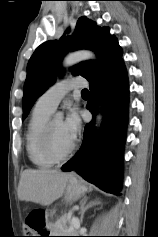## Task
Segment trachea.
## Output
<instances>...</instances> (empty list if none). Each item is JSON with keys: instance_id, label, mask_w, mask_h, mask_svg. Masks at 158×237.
Listing matches in <instances>:
<instances>
[{"instance_id": "1", "label": "trachea", "mask_w": 158, "mask_h": 237, "mask_svg": "<svg viewBox=\"0 0 158 237\" xmlns=\"http://www.w3.org/2000/svg\"><path fill=\"white\" fill-rule=\"evenodd\" d=\"M82 95H89V91L87 89L82 90Z\"/></svg>"}]
</instances>
